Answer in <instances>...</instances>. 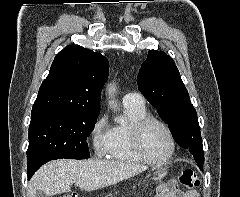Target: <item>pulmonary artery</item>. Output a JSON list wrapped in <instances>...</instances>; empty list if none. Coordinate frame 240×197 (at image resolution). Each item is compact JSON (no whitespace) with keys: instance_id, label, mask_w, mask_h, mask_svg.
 <instances>
[{"instance_id":"1","label":"pulmonary artery","mask_w":240,"mask_h":197,"mask_svg":"<svg viewBox=\"0 0 240 197\" xmlns=\"http://www.w3.org/2000/svg\"><path fill=\"white\" fill-rule=\"evenodd\" d=\"M124 106L144 107L145 101L143 97L136 92H129L123 96L122 99Z\"/></svg>"}]
</instances>
